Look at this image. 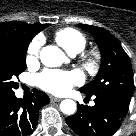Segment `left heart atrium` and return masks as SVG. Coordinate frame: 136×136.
<instances>
[{
  "label": "left heart atrium",
  "mask_w": 136,
  "mask_h": 136,
  "mask_svg": "<svg viewBox=\"0 0 136 136\" xmlns=\"http://www.w3.org/2000/svg\"><path fill=\"white\" fill-rule=\"evenodd\" d=\"M82 81L83 77L78 71L45 70L37 77L38 86L54 94L66 93Z\"/></svg>",
  "instance_id": "39dd6f15"
}]
</instances>
